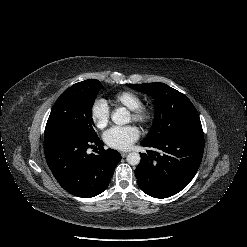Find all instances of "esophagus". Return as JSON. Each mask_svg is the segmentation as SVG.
Wrapping results in <instances>:
<instances>
[{
  "mask_svg": "<svg viewBox=\"0 0 247 247\" xmlns=\"http://www.w3.org/2000/svg\"><path fill=\"white\" fill-rule=\"evenodd\" d=\"M127 154H128L127 152H121V156H122V157H126Z\"/></svg>",
  "mask_w": 247,
  "mask_h": 247,
  "instance_id": "1",
  "label": "esophagus"
}]
</instances>
